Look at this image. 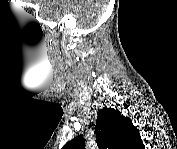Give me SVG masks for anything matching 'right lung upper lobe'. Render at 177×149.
I'll return each instance as SVG.
<instances>
[{
  "mask_svg": "<svg viewBox=\"0 0 177 149\" xmlns=\"http://www.w3.org/2000/svg\"><path fill=\"white\" fill-rule=\"evenodd\" d=\"M95 133L100 149H138L143 145L139 130L117 109L103 108L99 111ZM63 148L85 149V139L77 136Z\"/></svg>",
  "mask_w": 177,
  "mask_h": 149,
  "instance_id": "obj_1",
  "label": "right lung upper lobe"
}]
</instances>
